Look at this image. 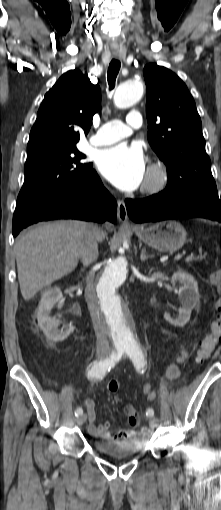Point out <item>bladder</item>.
Returning a JSON list of instances; mask_svg holds the SVG:
<instances>
[{
  "mask_svg": "<svg viewBox=\"0 0 221 510\" xmlns=\"http://www.w3.org/2000/svg\"><path fill=\"white\" fill-rule=\"evenodd\" d=\"M93 445L97 452L113 458L131 457L144 449V444L139 438H133L128 441L94 439Z\"/></svg>",
  "mask_w": 221,
  "mask_h": 510,
  "instance_id": "bladder-1",
  "label": "bladder"
}]
</instances>
